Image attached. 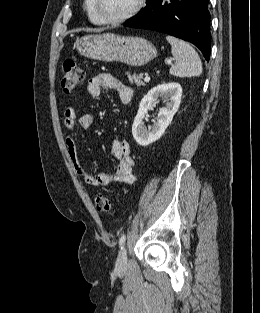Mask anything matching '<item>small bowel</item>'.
<instances>
[{
	"mask_svg": "<svg viewBox=\"0 0 260 313\" xmlns=\"http://www.w3.org/2000/svg\"><path fill=\"white\" fill-rule=\"evenodd\" d=\"M103 88L115 90L120 102L123 104L132 101V88L107 73L91 77L87 84V93L91 97H99ZM77 121L81 128L89 129L93 125V115L84 113L77 117L76 110L73 107H68L64 111L63 124L71 132L65 141L66 149L76 174L92 187L108 186L113 183L133 184L136 181V175L133 171L134 161L131 157L130 146L126 141L116 139L112 143V154L118 159V164L112 173L99 172L94 174L82 165L78 156L76 139L72 134Z\"/></svg>",
	"mask_w": 260,
	"mask_h": 313,
	"instance_id": "c3829d8e",
	"label": "small bowel"
}]
</instances>
